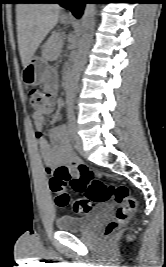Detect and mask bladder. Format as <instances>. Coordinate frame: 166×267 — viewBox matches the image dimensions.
<instances>
[{
  "label": "bladder",
  "instance_id": "31cf9c89",
  "mask_svg": "<svg viewBox=\"0 0 166 267\" xmlns=\"http://www.w3.org/2000/svg\"><path fill=\"white\" fill-rule=\"evenodd\" d=\"M95 223L93 216L74 217L64 215L56 220V227L60 231L84 232Z\"/></svg>",
  "mask_w": 166,
  "mask_h": 267
}]
</instances>
